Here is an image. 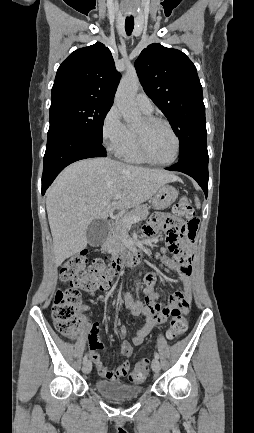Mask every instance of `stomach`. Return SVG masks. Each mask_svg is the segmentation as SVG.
<instances>
[{
    "mask_svg": "<svg viewBox=\"0 0 254 433\" xmlns=\"http://www.w3.org/2000/svg\"><path fill=\"white\" fill-rule=\"evenodd\" d=\"M178 197V191L171 185H162L152 198V205L156 210L169 207Z\"/></svg>",
    "mask_w": 254,
    "mask_h": 433,
    "instance_id": "0dacf381",
    "label": "stomach"
}]
</instances>
